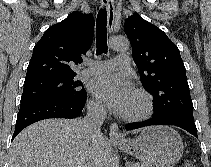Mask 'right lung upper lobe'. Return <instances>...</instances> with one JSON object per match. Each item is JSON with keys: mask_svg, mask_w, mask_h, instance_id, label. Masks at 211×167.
Masks as SVG:
<instances>
[{"mask_svg": "<svg viewBox=\"0 0 211 167\" xmlns=\"http://www.w3.org/2000/svg\"><path fill=\"white\" fill-rule=\"evenodd\" d=\"M94 34L93 15L72 12L49 27L34 47L25 81L47 76L76 75L72 65L81 63Z\"/></svg>", "mask_w": 211, "mask_h": 167, "instance_id": "cb5924a9", "label": "right lung upper lobe"}]
</instances>
